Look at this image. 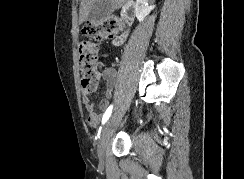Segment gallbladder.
<instances>
[{"instance_id":"1","label":"gallbladder","mask_w":244,"mask_h":179,"mask_svg":"<svg viewBox=\"0 0 244 179\" xmlns=\"http://www.w3.org/2000/svg\"><path fill=\"white\" fill-rule=\"evenodd\" d=\"M112 12H114V8L111 0H96L88 14V22L99 24L102 20H107Z\"/></svg>"}]
</instances>
